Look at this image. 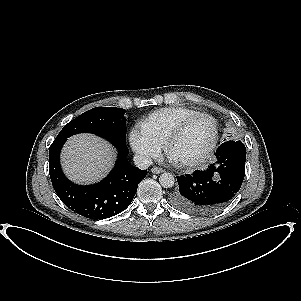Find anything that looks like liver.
<instances>
[{"mask_svg":"<svg viewBox=\"0 0 301 301\" xmlns=\"http://www.w3.org/2000/svg\"><path fill=\"white\" fill-rule=\"evenodd\" d=\"M116 151L106 140L92 134H78L65 143L61 162L67 177L81 184L104 178L111 170Z\"/></svg>","mask_w":301,"mask_h":301,"instance_id":"liver-1","label":"liver"}]
</instances>
